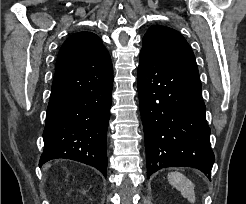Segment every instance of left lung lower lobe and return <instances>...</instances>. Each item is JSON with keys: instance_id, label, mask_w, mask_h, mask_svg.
Listing matches in <instances>:
<instances>
[{"instance_id": "1", "label": "left lung lower lobe", "mask_w": 246, "mask_h": 204, "mask_svg": "<svg viewBox=\"0 0 246 204\" xmlns=\"http://www.w3.org/2000/svg\"><path fill=\"white\" fill-rule=\"evenodd\" d=\"M137 83L147 177L165 167H193L210 179L215 157L198 72L140 54Z\"/></svg>"}]
</instances>
